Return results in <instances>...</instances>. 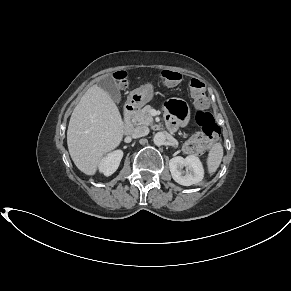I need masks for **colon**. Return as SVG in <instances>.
I'll return each mask as SVG.
<instances>
[{"label": "colon", "mask_w": 291, "mask_h": 291, "mask_svg": "<svg viewBox=\"0 0 291 291\" xmlns=\"http://www.w3.org/2000/svg\"><path fill=\"white\" fill-rule=\"evenodd\" d=\"M159 77L165 86H174L183 79V75L180 72L171 70L161 71ZM114 79L120 86H126L127 84V76L122 72L117 73ZM191 91L198 108L196 122L201 130L193 133L186 139L184 142V150L189 154H198L214 146L220 130L213 116L206 110L208 101L203 84L197 80H193L191 82ZM170 106L176 108V100H171Z\"/></svg>", "instance_id": "5ec220e1"}]
</instances>
